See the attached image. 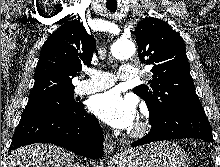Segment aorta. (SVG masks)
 Returning <instances> with one entry per match:
<instances>
[{"instance_id":"aorta-1","label":"aorta","mask_w":220,"mask_h":167,"mask_svg":"<svg viewBox=\"0 0 220 167\" xmlns=\"http://www.w3.org/2000/svg\"><path fill=\"white\" fill-rule=\"evenodd\" d=\"M136 51L135 44L131 40H117L111 47L113 57L118 60L128 59Z\"/></svg>"}]
</instances>
